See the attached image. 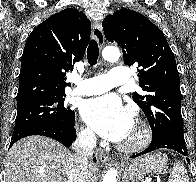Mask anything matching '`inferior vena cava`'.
<instances>
[{
	"instance_id": "inferior-vena-cava-1",
	"label": "inferior vena cava",
	"mask_w": 196,
	"mask_h": 182,
	"mask_svg": "<svg viewBox=\"0 0 196 182\" xmlns=\"http://www.w3.org/2000/svg\"><path fill=\"white\" fill-rule=\"evenodd\" d=\"M96 146V137L92 131H87L78 136L72 144L75 151L68 172V182H87L88 181V159L93 154Z\"/></svg>"
}]
</instances>
